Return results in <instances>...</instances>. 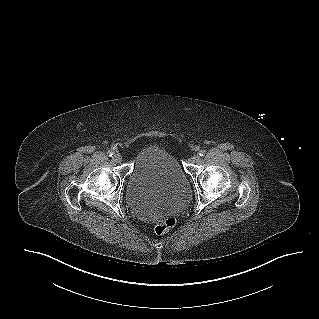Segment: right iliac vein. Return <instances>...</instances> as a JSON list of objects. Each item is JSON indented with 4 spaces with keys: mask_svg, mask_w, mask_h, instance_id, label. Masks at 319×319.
Instances as JSON below:
<instances>
[{
    "mask_svg": "<svg viewBox=\"0 0 319 319\" xmlns=\"http://www.w3.org/2000/svg\"><path fill=\"white\" fill-rule=\"evenodd\" d=\"M112 160H113L114 162H116V163H120V162L122 161V157H121V155H119V154H114V155L112 156Z\"/></svg>",
    "mask_w": 319,
    "mask_h": 319,
    "instance_id": "63e3f726",
    "label": "right iliac vein"
}]
</instances>
